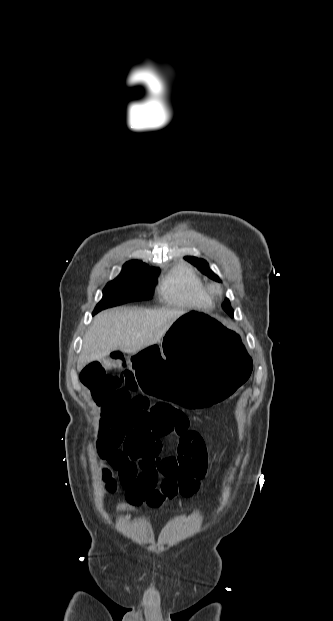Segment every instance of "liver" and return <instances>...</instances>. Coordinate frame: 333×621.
Wrapping results in <instances>:
<instances>
[{"label":"liver","instance_id":"obj_1","mask_svg":"<svg viewBox=\"0 0 333 621\" xmlns=\"http://www.w3.org/2000/svg\"><path fill=\"white\" fill-rule=\"evenodd\" d=\"M185 312L169 309L117 308L99 313L83 337L78 367L120 349L135 354L158 343Z\"/></svg>","mask_w":333,"mask_h":621}]
</instances>
